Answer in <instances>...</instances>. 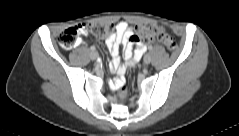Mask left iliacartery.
Segmentation results:
<instances>
[{"label": "left iliac artery", "instance_id": "obj_1", "mask_svg": "<svg viewBox=\"0 0 239 136\" xmlns=\"http://www.w3.org/2000/svg\"><path fill=\"white\" fill-rule=\"evenodd\" d=\"M148 50H152V46H148Z\"/></svg>", "mask_w": 239, "mask_h": 136}]
</instances>
